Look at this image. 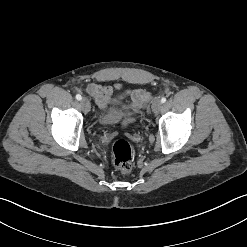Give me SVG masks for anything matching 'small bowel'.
<instances>
[{
	"label": "small bowel",
	"mask_w": 247,
	"mask_h": 247,
	"mask_svg": "<svg viewBox=\"0 0 247 247\" xmlns=\"http://www.w3.org/2000/svg\"><path fill=\"white\" fill-rule=\"evenodd\" d=\"M85 90L94 98L98 107L103 111H107L110 106L119 105L128 95L131 96L132 102L130 104L123 105L122 110L124 112L138 111L150 98L149 92L140 88H125L122 84L104 86L97 83H89Z\"/></svg>",
	"instance_id": "small-bowel-1"
}]
</instances>
